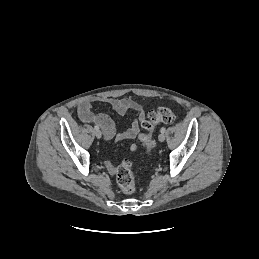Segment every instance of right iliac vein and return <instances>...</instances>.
Returning <instances> with one entry per match:
<instances>
[{
  "label": "right iliac vein",
  "mask_w": 259,
  "mask_h": 259,
  "mask_svg": "<svg viewBox=\"0 0 259 259\" xmlns=\"http://www.w3.org/2000/svg\"><path fill=\"white\" fill-rule=\"evenodd\" d=\"M95 136H96L98 139L101 138V136H102L101 131H100V130H96V131H95Z\"/></svg>",
  "instance_id": "obj_1"
}]
</instances>
